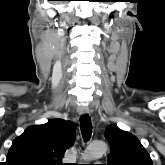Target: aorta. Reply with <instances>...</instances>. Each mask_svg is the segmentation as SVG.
Wrapping results in <instances>:
<instances>
[{
    "instance_id": "762f6f07",
    "label": "aorta",
    "mask_w": 165,
    "mask_h": 165,
    "mask_svg": "<svg viewBox=\"0 0 165 165\" xmlns=\"http://www.w3.org/2000/svg\"><path fill=\"white\" fill-rule=\"evenodd\" d=\"M107 151V145L104 142L91 143L84 151L82 158L86 161L101 158Z\"/></svg>"
}]
</instances>
